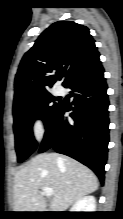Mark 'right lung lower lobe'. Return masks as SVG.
<instances>
[{
	"instance_id": "1",
	"label": "right lung lower lobe",
	"mask_w": 123,
	"mask_h": 219,
	"mask_svg": "<svg viewBox=\"0 0 123 219\" xmlns=\"http://www.w3.org/2000/svg\"><path fill=\"white\" fill-rule=\"evenodd\" d=\"M73 102L60 106L46 128L39 152L53 148L92 169L101 183L105 178L109 142L107 85L99 57L65 83ZM71 111L70 119L64 114Z\"/></svg>"
}]
</instances>
